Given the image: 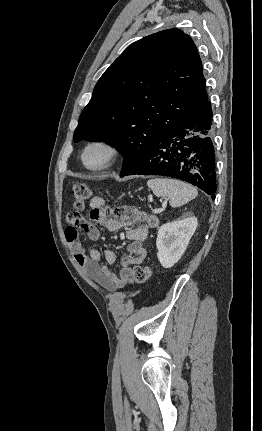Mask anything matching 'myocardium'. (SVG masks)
I'll return each mask as SVG.
<instances>
[{
	"mask_svg": "<svg viewBox=\"0 0 262 431\" xmlns=\"http://www.w3.org/2000/svg\"><path fill=\"white\" fill-rule=\"evenodd\" d=\"M101 148L105 152V157L103 162L98 166H89L86 163V155L87 153L94 149ZM121 154L119 146L113 141L105 138H99L91 140L86 144L82 153H81V162L85 169L91 172H100L107 169H110L115 165L117 160L119 159Z\"/></svg>",
	"mask_w": 262,
	"mask_h": 431,
	"instance_id": "obj_1",
	"label": "myocardium"
}]
</instances>
